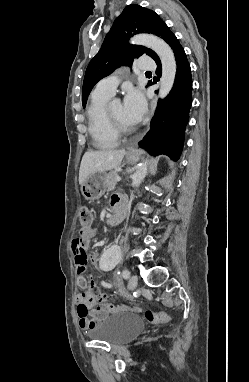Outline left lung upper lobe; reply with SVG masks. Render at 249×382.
Here are the masks:
<instances>
[{
    "label": "left lung upper lobe",
    "instance_id": "1",
    "mask_svg": "<svg viewBox=\"0 0 249 382\" xmlns=\"http://www.w3.org/2000/svg\"><path fill=\"white\" fill-rule=\"evenodd\" d=\"M143 32L160 36L169 45L175 37L154 11L136 4L125 7L106 35L100 51L87 67L82 90L83 107L94 85L119 66H131L136 58L145 54L155 61L159 60L157 54L151 49L128 44L130 37ZM149 85L150 83L147 86Z\"/></svg>",
    "mask_w": 249,
    "mask_h": 382
}]
</instances>
